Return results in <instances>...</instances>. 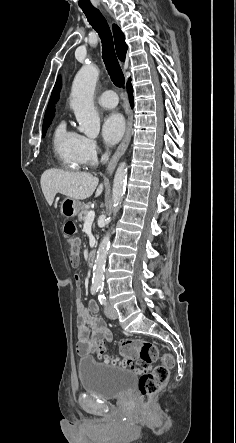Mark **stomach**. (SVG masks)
<instances>
[{
	"mask_svg": "<svg viewBox=\"0 0 236 443\" xmlns=\"http://www.w3.org/2000/svg\"><path fill=\"white\" fill-rule=\"evenodd\" d=\"M82 209V203L79 200H75L72 198H65L61 203V214L66 218L75 217L80 210Z\"/></svg>",
	"mask_w": 236,
	"mask_h": 443,
	"instance_id": "obj_1",
	"label": "stomach"
}]
</instances>
